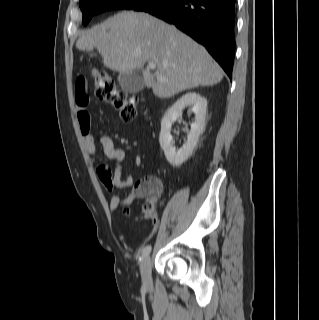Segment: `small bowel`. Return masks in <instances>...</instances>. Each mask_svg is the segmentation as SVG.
Here are the masks:
<instances>
[{"label":"small bowel","instance_id":"1","mask_svg":"<svg viewBox=\"0 0 319 320\" xmlns=\"http://www.w3.org/2000/svg\"><path fill=\"white\" fill-rule=\"evenodd\" d=\"M88 105L89 95L84 83L79 85L75 92L76 120L83 135V141L88 155L93 157L96 163H99V160L97 159V145L89 132L92 125V116L88 109ZM99 145L102 148L104 156L115 163L113 170L106 165L100 166L108 171V176L103 180L100 178V172L98 171L99 179L104 188L112 193L110 207L117 208L121 206L127 209L138 196L135 188L132 192L123 196L115 194V191L132 188L134 184L131 175H123V162L126 158V153L123 149L117 148L114 145L113 139L109 135L100 136ZM142 163V157L136 155L134 157V164L137 167H141Z\"/></svg>","mask_w":319,"mask_h":320}]
</instances>
